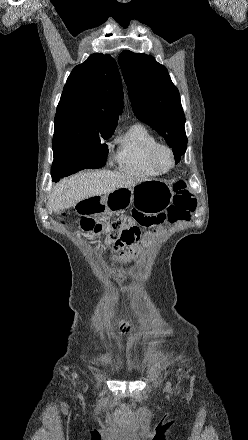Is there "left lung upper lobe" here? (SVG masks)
<instances>
[{
    "label": "left lung upper lobe",
    "instance_id": "obj_1",
    "mask_svg": "<svg viewBox=\"0 0 248 440\" xmlns=\"http://www.w3.org/2000/svg\"><path fill=\"white\" fill-rule=\"evenodd\" d=\"M119 64L135 115L164 137L178 163L187 147L185 115L166 67L128 50L119 55Z\"/></svg>",
    "mask_w": 248,
    "mask_h": 440
}]
</instances>
